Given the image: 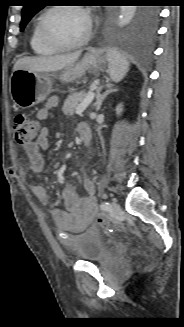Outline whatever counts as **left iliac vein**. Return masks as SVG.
<instances>
[{
  "instance_id": "obj_1",
  "label": "left iliac vein",
  "mask_w": 184,
  "mask_h": 327,
  "mask_svg": "<svg viewBox=\"0 0 184 327\" xmlns=\"http://www.w3.org/2000/svg\"><path fill=\"white\" fill-rule=\"evenodd\" d=\"M111 209H112L113 213L116 214V215L119 214L120 211H121L120 205L115 201H113L111 203Z\"/></svg>"
}]
</instances>
